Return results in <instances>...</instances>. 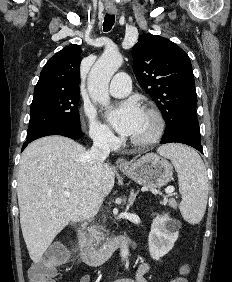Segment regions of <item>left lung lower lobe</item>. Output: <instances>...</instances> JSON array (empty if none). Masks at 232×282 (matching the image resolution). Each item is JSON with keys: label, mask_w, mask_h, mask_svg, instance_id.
<instances>
[{"label": "left lung lower lobe", "mask_w": 232, "mask_h": 282, "mask_svg": "<svg viewBox=\"0 0 232 282\" xmlns=\"http://www.w3.org/2000/svg\"><path fill=\"white\" fill-rule=\"evenodd\" d=\"M166 125V131L161 144L171 142L183 143L203 153L197 119H189L186 116H182L176 124L167 123Z\"/></svg>", "instance_id": "1"}]
</instances>
